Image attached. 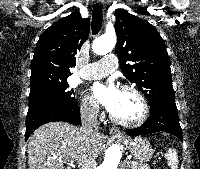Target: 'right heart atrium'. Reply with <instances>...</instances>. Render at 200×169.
<instances>
[{"label":"right heart atrium","mask_w":200,"mask_h":169,"mask_svg":"<svg viewBox=\"0 0 200 169\" xmlns=\"http://www.w3.org/2000/svg\"><path fill=\"white\" fill-rule=\"evenodd\" d=\"M79 110L83 118L91 121L102 117L101 110L97 103L88 96H83L80 101Z\"/></svg>","instance_id":"1"}]
</instances>
